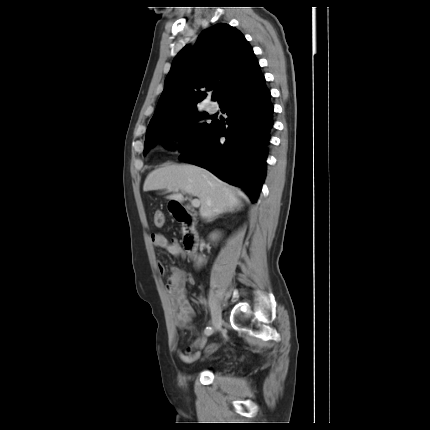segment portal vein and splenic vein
I'll use <instances>...</instances> for the list:
<instances>
[{
	"instance_id": "18ae733b",
	"label": "portal vein and splenic vein",
	"mask_w": 430,
	"mask_h": 430,
	"mask_svg": "<svg viewBox=\"0 0 430 430\" xmlns=\"http://www.w3.org/2000/svg\"><path fill=\"white\" fill-rule=\"evenodd\" d=\"M191 204L193 207H199L200 206V201L198 199H193L191 201Z\"/></svg>"
}]
</instances>
